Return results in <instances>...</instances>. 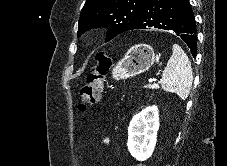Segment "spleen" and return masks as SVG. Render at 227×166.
<instances>
[{
  "mask_svg": "<svg viewBox=\"0 0 227 166\" xmlns=\"http://www.w3.org/2000/svg\"><path fill=\"white\" fill-rule=\"evenodd\" d=\"M192 81L191 63L182 48L174 44L172 56L162 74L161 86L165 91L175 93L185 100L190 93Z\"/></svg>",
  "mask_w": 227,
  "mask_h": 166,
  "instance_id": "obj_1",
  "label": "spleen"
}]
</instances>
